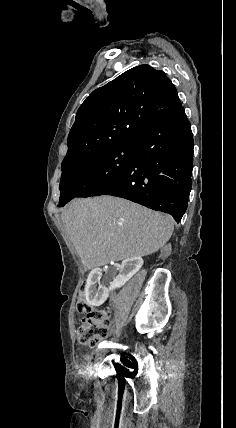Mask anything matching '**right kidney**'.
<instances>
[{"label": "right kidney", "mask_w": 236, "mask_h": 428, "mask_svg": "<svg viewBox=\"0 0 236 428\" xmlns=\"http://www.w3.org/2000/svg\"><path fill=\"white\" fill-rule=\"evenodd\" d=\"M143 264L144 262L141 256H131V258L123 260L121 266H119V274L114 284L115 288H121V286H124V284H126L134 274L139 272ZM103 277V269H91L85 288L86 300L88 304H91V306H100V304H103L105 300L103 292H108L111 288L108 283H97V278ZM94 288L96 292H94Z\"/></svg>", "instance_id": "ca27d5eb"}]
</instances>
